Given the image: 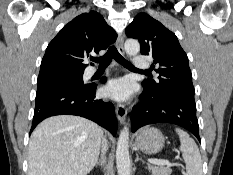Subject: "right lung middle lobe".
Instances as JSON below:
<instances>
[{"instance_id":"dd1d6c3e","label":"right lung middle lobe","mask_w":233,"mask_h":175,"mask_svg":"<svg viewBox=\"0 0 233 175\" xmlns=\"http://www.w3.org/2000/svg\"><path fill=\"white\" fill-rule=\"evenodd\" d=\"M83 73L77 74H64V75H55L44 78H38V87L37 92H40L44 89L51 87H59V86H82Z\"/></svg>"}]
</instances>
